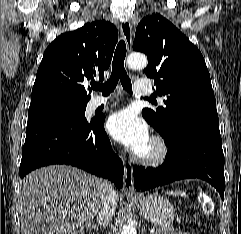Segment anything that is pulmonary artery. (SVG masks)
Returning <instances> with one entry per match:
<instances>
[{"label": "pulmonary artery", "mask_w": 241, "mask_h": 234, "mask_svg": "<svg viewBox=\"0 0 241 234\" xmlns=\"http://www.w3.org/2000/svg\"><path fill=\"white\" fill-rule=\"evenodd\" d=\"M134 92L137 95H149L152 93V87H151V85H149L147 83L138 82L134 86ZM111 102H113V100L111 98H108V99H105L102 97L93 98L90 101V108L92 110H94L102 105L110 104Z\"/></svg>", "instance_id": "pulmonary-artery-1"}]
</instances>
